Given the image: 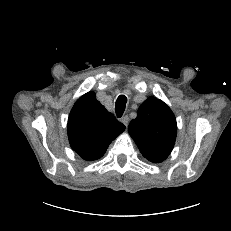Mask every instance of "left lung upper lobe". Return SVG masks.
<instances>
[{"instance_id": "obj_1", "label": "left lung upper lobe", "mask_w": 231, "mask_h": 231, "mask_svg": "<svg viewBox=\"0 0 231 231\" xmlns=\"http://www.w3.org/2000/svg\"><path fill=\"white\" fill-rule=\"evenodd\" d=\"M130 136L142 155L153 163L164 161L171 153L177 135L176 118L160 99L150 96L129 124Z\"/></svg>"}]
</instances>
